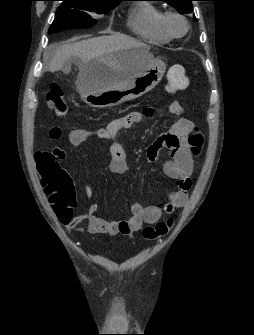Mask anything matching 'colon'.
<instances>
[{"label":"colon","mask_w":254,"mask_h":335,"mask_svg":"<svg viewBox=\"0 0 254 335\" xmlns=\"http://www.w3.org/2000/svg\"><path fill=\"white\" fill-rule=\"evenodd\" d=\"M187 86L188 78L184 66H171L168 71L167 91L175 93L185 89ZM46 101L51 111L55 114L61 116L67 114L68 105L61 87L52 86L46 93ZM188 144L191 153L197 156L200 154L204 144V137L198 132H193L188 138ZM60 154L61 150L56 147L50 151L36 154L37 169L41 176V183L45 193L51 197L52 206L58 216L65 205L73 206L74 204L70 179L58 161ZM172 224L173 221L168 219L159 221L155 225L146 226L143 229V236L150 240L164 236L170 230Z\"/></svg>","instance_id":"5ec220e1"}]
</instances>
